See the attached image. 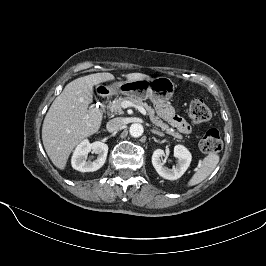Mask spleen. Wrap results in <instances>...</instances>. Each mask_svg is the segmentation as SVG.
<instances>
[{"label": "spleen", "mask_w": 266, "mask_h": 266, "mask_svg": "<svg viewBox=\"0 0 266 266\" xmlns=\"http://www.w3.org/2000/svg\"><path fill=\"white\" fill-rule=\"evenodd\" d=\"M220 157L215 152L209 154L201 161H199L196 171L192 178L188 181L187 186H194L204 181L216 168Z\"/></svg>", "instance_id": "spleen-1"}]
</instances>
